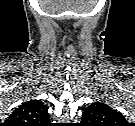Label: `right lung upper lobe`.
Returning <instances> with one entry per match:
<instances>
[{
	"label": "right lung upper lobe",
	"mask_w": 135,
	"mask_h": 126,
	"mask_svg": "<svg viewBox=\"0 0 135 126\" xmlns=\"http://www.w3.org/2000/svg\"><path fill=\"white\" fill-rule=\"evenodd\" d=\"M48 110L39 100L22 103L6 119L5 126H48Z\"/></svg>",
	"instance_id": "1"
}]
</instances>
